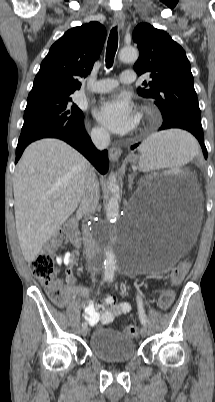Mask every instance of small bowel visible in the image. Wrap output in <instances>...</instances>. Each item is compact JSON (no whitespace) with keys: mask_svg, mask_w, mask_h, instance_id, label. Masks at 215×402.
<instances>
[{"mask_svg":"<svg viewBox=\"0 0 215 402\" xmlns=\"http://www.w3.org/2000/svg\"><path fill=\"white\" fill-rule=\"evenodd\" d=\"M59 264L68 266V270L65 275V291L68 295L78 294L83 297H89L91 290L85 286H79L75 284V280L72 275L71 267L75 264V256L66 254L57 258ZM83 318L90 325L95 326L98 323L109 324L115 317L121 314H127L131 311L129 303L122 302L116 303L115 298L111 295L104 297L100 301L88 300L83 304Z\"/></svg>","mask_w":215,"mask_h":402,"instance_id":"small-bowel-1","label":"small bowel"}]
</instances>
